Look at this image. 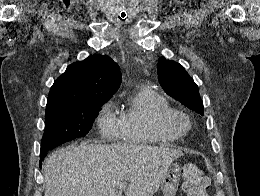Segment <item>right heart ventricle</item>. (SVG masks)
<instances>
[{"mask_svg":"<svg viewBox=\"0 0 260 196\" xmlns=\"http://www.w3.org/2000/svg\"><path fill=\"white\" fill-rule=\"evenodd\" d=\"M154 110H158L155 115ZM173 110L168 100L148 85H135L128 93L126 104L120 115L122 129L136 131V136L128 143L169 144L182 135L164 129L159 125L160 117ZM91 192H114V190H91Z\"/></svg>","mask_w":260,"mask_h":196,"instance_id":"obj_1","label":"right heart ventricle"}]
</instances>
